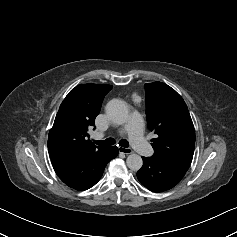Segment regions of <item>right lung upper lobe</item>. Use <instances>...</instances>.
<instances>
[{
    "mask_svg": "<svg viewBox=\"0 0 237 237\" xmlns=\"http://www.w3.org/2000/svg\"><path fill=\"white\" fill-rule=\"evenodd\" d=\"M112 85L80 84L63 100L49 131L48 149H56L75 157H86L107 147H96L88 138V130L100 112L105 95Z\"/></svg>",
    "mask_w": 237,
    "mask_h": 237,
    "instance_id": "obj_1",
    "label": "right lung upper lobe"
}]
</instances>
